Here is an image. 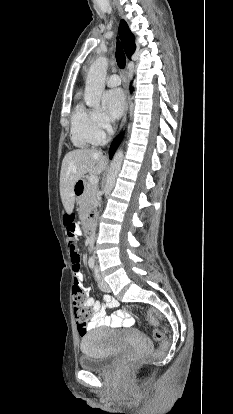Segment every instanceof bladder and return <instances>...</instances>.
<instances>
[{
  "instance_id": "1",
  "label": "bladder",
  "mask_w": 233,
  "mask_h": 414,
  "mask_svg": "<svg viewBox=\"0 0 233 414\" xmlns=\"http://www.w3.org/2000/svg\"><path fill=\"white\" fill-rule=\"evenodd\" d=\"M118 332L95 328L82 337L80 347L82 355L79 359V366L87 371H104L110 367L120 350L116 344ZM141 344L150 347L147 338L138 332H134Z\"/></svg>"
}]
</instances>
